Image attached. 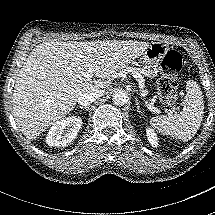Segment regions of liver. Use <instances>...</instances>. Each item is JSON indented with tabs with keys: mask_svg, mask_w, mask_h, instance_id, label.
<instances>
[{
	"mask_svg": "<svg viewBox=\"0 0 215 215\" xmlns=\"http://www.w3.org/2000/svg\"><path fill=\"white\" fill-rule=\"evenodd\" d=\"M147 42L97 40L37 45L20 69L13 91V115L23 135L36 139L71 112L83 93L110 86L111 77L142 55ZM95 67L98 80L83 77Z\"/></svg>",
	"mask_w": 215,
	"mask_h": 215,
	"instance_id": "1",
	"label": "liver"
}]
</instances>
